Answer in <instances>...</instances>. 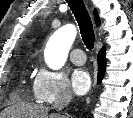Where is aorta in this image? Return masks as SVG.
<instances>
[{
    "label": "aorta",
    "instance_id": "1",
    "mask_svg": "<svg viewBox=\"0 0 133 118\" xmlns=\"http://www.w3.org/2000/svg\"><path fill=\"white\" fill-rule=\"evenodd\" d=\"M76 34L77 30L71 24L61 27L53 34L45 52V61L50 68L57 70L64 66Z\"/></svg>",
    "mask_w": 133,
    "mask_h": 118
}]
</instances>
